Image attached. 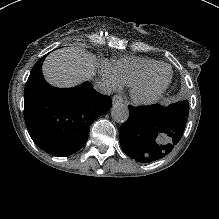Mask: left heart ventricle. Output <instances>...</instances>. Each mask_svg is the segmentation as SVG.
Wrapping results in <instances>:
<instances>
[{
  "label": "left heart ventricle",
  "mask_w": 219,
  "mask_h": 219,
  "mask_svg": "<svg viewBox=\"0 0 219 219\" xmlns=\"http://www.w3.org/2000/svg\"><path fill=\"white\" fill-rule=\"evenodd\" d=\"M168 78V71L166 69H160L150 79L147 88L144 90L145 93L152 92L160 88Z\"/></svg>",
  "instance_id": "left-heart-ventricle-1"
}]
</instances>
